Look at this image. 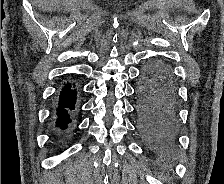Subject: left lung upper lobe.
I'll return each instance as SVG.
<instances>
[{
    "instance_id": "obj_1",
    "label": "left lung upper lobe",
    "mask_w": 224,
    "mask_h": 184,
    "mask_svg": "<svg viewBox=\"0 0 224 184\" xmlns=\"http://www.w3.org/2000/svg\"><path fill=\"white\" fill-rule=\"evenodd\" d=\"M154 61H156L157 64H159L160 66H162V67H164V68H166V69L171 70L169 64H167L165 61H162V60H156V59H155Z\"/></svg>"
}]
</instances>
